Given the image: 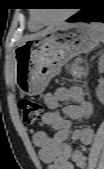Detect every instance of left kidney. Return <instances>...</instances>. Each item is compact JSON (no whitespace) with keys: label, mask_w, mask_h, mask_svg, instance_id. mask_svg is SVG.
Instances as JSON below:
<instances>
[{"label":"left kidney","mask_w":104,"mask_h":169,"mask_svg":"<svg viewBox=\"0 0 104 169\" xmlns=\"http://www.w3.org/2000/svg\"><path fill=\"white\" fill-rule=\"evenodd\" d=\"M103 67V61H101L99 63V69L101 70ZM96 93H97V97L100 101H103L104 100V88L102 86H98L97 87V90H96Z\"/></svg>","instance_id":"5707ae66"}]
</instances>
